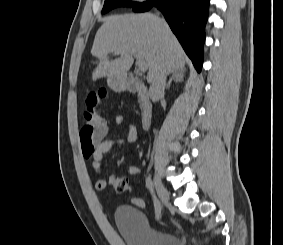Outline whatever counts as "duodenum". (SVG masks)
Returning <instances> with one entry per match:
<instances>
[{
  "mask_svg": "<svg viewBox=\"0 0 283 245\" xmlns=\"http://www.w3.org/2000/svg\"><path fill=\"white\" fill-rule=\"evenodd\" d=\"M121 85L124 89L137 93L141 124L143 128L147 129L150 126L152 117V106L147 88L132 74H127L122 80Z\"/></svg>",
  "mask_w": 283,
  "mask_h": 245,
  "instance_id": "duodenum-1",
  "label": "duodenum"
}]
</instances>
